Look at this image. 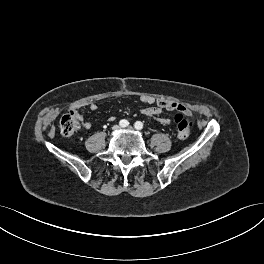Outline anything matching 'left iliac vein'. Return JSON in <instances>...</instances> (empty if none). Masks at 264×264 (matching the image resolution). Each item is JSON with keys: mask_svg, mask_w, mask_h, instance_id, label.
Here are the masks:
<instances>
[{"mask_svg": "<svg viewBox=\"0 0 264 264\" xmlns=\"http://www.w3.org/2000/svg\"><path fill=\"white\" fill-rule=\"evenodd\" d=\"M128 130H134V128L132 126H129Z\"/></svg>", "mask_w": 264, "mask_h": 264, "instance_id": "1", "label": "left iliac vein"}]
</instances>
